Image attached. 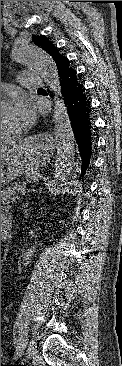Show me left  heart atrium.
<instances>
[{
  "mask_svg": "<svg viewBox=\"0 0 122 366\" xmlns=\"http://www.w3.org/2000/svg\"><path fill=\"white\" fill-rule=\"evenodd\" d=\"M12 110L18 120L19 130L30 126L35 118L32 102L22 94H17L12 103Z\"/></svg>",
  "mask_w": 122,
  "mask_h": 366,
  "instance_id": "1",
  "label": "left heart atrium"
}]
</instances>
